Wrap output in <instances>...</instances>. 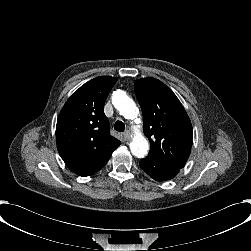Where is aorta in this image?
I'll use <instances>...</instances> for the list:
<instances>
[{"mask_svg": "<svg viewBox=\"0 0 251 251\" xmlns=\"http://www.w3.org/2000/svg\"><path fill=\"white\" fill-rule=\"evenodd\" d=\"M112 102L116 105L118 111L124 118L134 121L136 125L139 123V109L135 102L126 96L124 91H114L112 94ZM129 147L132 154L138 158H142L147 154L149 143L141 128H135L133 130Z\"/></svg>", "mask_w": 251, "mask_h": 251, "instance_id": "obj_1", "label": "aorta"}]
</instances>
